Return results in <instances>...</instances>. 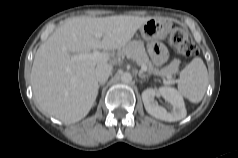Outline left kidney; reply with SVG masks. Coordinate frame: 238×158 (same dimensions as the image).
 Here are the masks:
<instances>
[{
	"mask_svg": "<svg viewBox=\"0 0 238 158\" xmlns=\"http://www.w3.org/2000/svg\"><path fill=\"white\" fill-rule=\"evenodd\" d=\"M157 95L162 96L172 105L171 111H167L164 107L155 103L154 97ZM142 100L146 111L157 119L175 122L186 117L187 112L184 100L174 88L163 86L160 87L158 91L153 88H148L142 92Z\"/></svg>",
	"mask_w": 238,
	"mask_h": 158,
	"instance_id": "5707ae66",
	"label": "left kidney"
}]
</instances>
